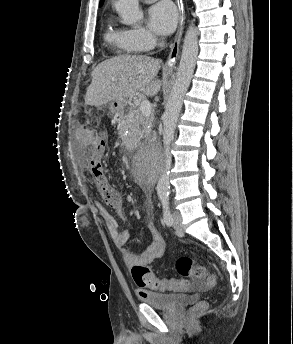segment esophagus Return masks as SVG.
Returning <instances> with one entry per match:
<instances>
[{
  "instance_id": "esophagus-1",
  "label": "esophagus",
  "mask_w": 293,
  "mask_h": 344,
  "mask_svg": "<svg viewBox=\"0 0 293 344\" xmlns=\"http://www.w3.org/2000/svg\"><path fill=\"white\" fill-rule=\"evenodd\" d=\"M176 4L178 7V15H179V25L178 30L174 39L173 44L171 45V51L167 59V66H173L178 57H179V45L182 36V23L184 20V8L182 0H176Z\"/></svg>"
}]
</instances>
